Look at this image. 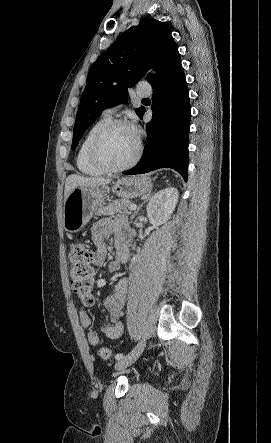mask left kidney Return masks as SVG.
<instances>
[{
	"instance_id": "left-kidney-1",
	"label": "left kidney",
	"mask_w": 271,
	"mask_h": 443,
	"mask_svg": "<svg viewBox=\"0 0 271 443\" xmlns=\"http://www.w3.org/2000/svg\"><path fill=\"white\" fill-rule=\"evenodd\" d=\"M178 202V190L165 188L151 198L146 210L150 223L162 225L172 216Z\"/></svg>"
}]
</instances>
